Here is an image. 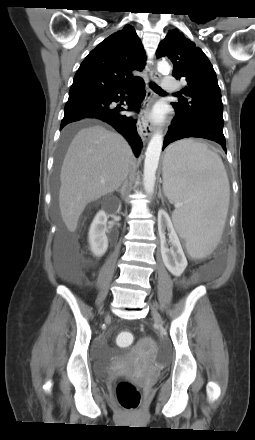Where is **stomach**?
Listing matches in <instances>:
<instances>
[{
	"mask_svg": "<svg viewBox=\"0 0 255 440\" xmlns=\"http://www.w3.org/2000/svg\"><path fill=\"white\" fill-rule=\"evenodd\" d=\"M170 154H171V152H170V150H168L166 155H165V158H164V166L167 165V163L169 161V158H170Z\"/></svg>",
	"mask_w": 255,
	"mask_h": 440,
	"instance_id": "0dacf381",
	"label": "stomach"
}]
</instances>
